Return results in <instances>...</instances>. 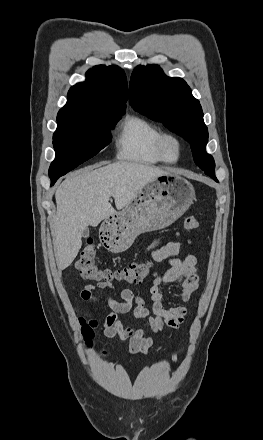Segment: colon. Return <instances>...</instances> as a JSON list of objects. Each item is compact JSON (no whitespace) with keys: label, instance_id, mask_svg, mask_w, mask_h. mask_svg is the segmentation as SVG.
<instances>
[{"label":"colon","instance_id":"obj_1","mask_svg":"<svg viewBox=\"0 0 263 440\" xmlns=\"http://www.w3.org/2000/svg\"><path fill=\"white\" fill-rule=\"evenodd\" d=\"M199 222L194 216H186L183 221V228L186 231L195 230ZM76 268L81 277L85 280L101 281L111 284L122 282L126 284H137L142 282L151 271V264L148 262H134L118 269L102 268L97 264L96 246L94 241L89 239L83 247L76 262ZM82 334L86 345H90L94 337L96 323L85 318L80 319Z\"/></svg>","mask_w":263,"mask_h":440}]
</instances>
